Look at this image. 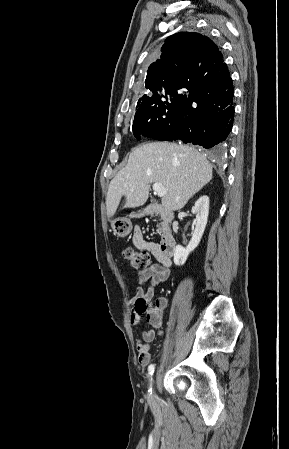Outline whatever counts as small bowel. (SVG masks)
<instances>
[{
  "label": "small bowel",
  "instance_id": "c3829d8e",
  "mask_svg": "<svg viewBox=\"0 0 289 449\" xmlns=\"http://www.w3.org/2000/svg\"><path fill=\"white\" fill-rule=\"evenodd\" d=\"M132 242L138 249L150 253L157 262L138 273L139 287L131 300L130 321L132 325H139L141 323V311L138 307V301L141 299L151 300L155 287L169 278L171 259L161 252L158 243L145 240L139 227H136L133 232ZM165 304V300H160L158 307L147 314V321L155 328H160L162 325ZM140 336L141 339L137 342L138 358L140 364L146 365L150 361V346L155 342L156 333L153 329L143 330L140 332Z\"/></svg>",
  "mask_w": 289,
  "mask_h": 449
}]
</instances>
